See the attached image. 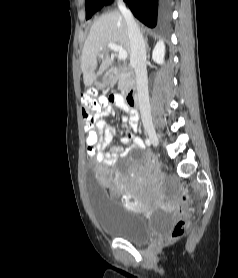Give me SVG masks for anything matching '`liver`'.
Segmentation results:
<instances>
[{
    "mask_svg": "<svg viewBox=\"0 0 238 278\" xmlns=\"http://www.w3.org/2000/svg\"><path fill=\"white\" fill-rule=\"evenodd\" d=\"M108 43H115L130 52V40L122 13L113 11L99 17L92 25L81 55V71L85 87H90L96 78L113 63L109 56ZM101 53V55H100ZM102 63L97 72V58Z\"/></svg>",
    "mask_w": 238,
    "mask_h": 278,
    "instance_id": "liver-1",
    "label": "liver"
}]
</instances>
